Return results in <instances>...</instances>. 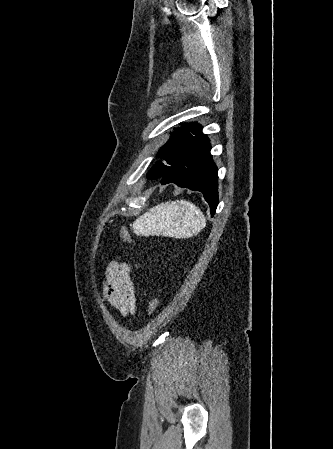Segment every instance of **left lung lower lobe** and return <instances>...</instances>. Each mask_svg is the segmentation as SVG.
<instances>
[{
    "label": "left lung lower lobe",
    "mask_w": 333,
    "mask_h": 449,
    "mask_svg": "<svg viewBox=\"0 0 333 449\" xmlns=\"http://www.w3.org/2000/svg\"><path fill=\"white\" fill-rule=\"evenodd\" d=\"M210 143L200 131L186 160L172 172L161 178L162 184L175 183L180 187L203 193L213 216L218 205V169L210 154ZM152 169L147 174L151 173Z\"/></svg>",
    "instance_id": "1"
}]
</instances>
